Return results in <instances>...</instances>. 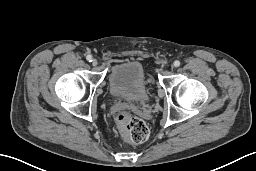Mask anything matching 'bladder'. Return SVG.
I'll return each instance as SVG.
<instances>
[{
	"mask_svg": "<svg viewBox=\"0 0 256 171\" xmlns=\"http://www.w3.org/2000/svg\"><path fill=\"white\" fill-rule=\"evenodd\" d=\"M113 97L134 104L148 100V85L143 66L138 61H126L115 65L108 79Z\"/></svg>",
	"mask_w": 256,
	"mask_h": 171,
	"instance_id": "obj_1",
	"label": "bladder"
}]
</instances>
